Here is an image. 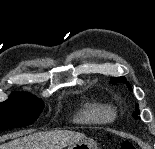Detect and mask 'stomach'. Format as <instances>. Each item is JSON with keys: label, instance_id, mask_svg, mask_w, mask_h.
<instances>
[{"label": "stomach", "instance_id": "obj_1", "mask_svg": "<svg viewBox=\"0 0 155 149\" xmlns=\"http://www.w3.org/2000/svg\"><path fill=\"white\" fill-rule=\"evenodd\" d=\"M67 149H98V146L93 139L84 138L69 144Z\"/></svg>", "mask_w": 155, "mask_h": 149}]
</instances>
